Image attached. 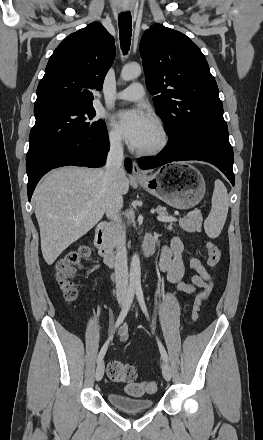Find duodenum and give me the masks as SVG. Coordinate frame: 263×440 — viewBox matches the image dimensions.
I'll use <instances>...</instances> for the list:
<instances>
[{
    "label": "duodenum",
    "mask_w": 263,
    "mask_h": 440,
    "mask_svg": "<svg viewBox=\"0 0 263 440\" xmlns=\"http://www.w3.org/2000/svg\"><path fill=\"white\" fill-rule=\"evenodd\" d=\"M108 228L109 224L105 221L97 224L94 235V245L104 262L109 266H114L116 264V257L108 241ZM143 251L146 257L154 253V241L152 238H148L144 242Z\"/></svg>",
    "instance_id": "410a0bca"
}]
</instances>
